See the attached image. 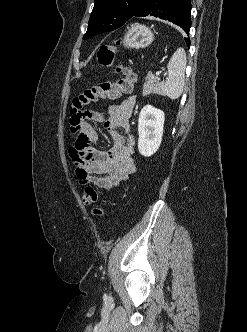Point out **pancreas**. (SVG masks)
<instances>
[{"mask_svg": "<svg viewBox=\"0 0 247 332\" xmlns=\"http://www.w3.org/2000/svg\"><path fill=\"white\" fill-rule=\"evenodd\" d=\"M159 86V81L158 79L151 73L149 72L146 76V81L143 85V95H149L156 93L158 90Z\"/></svg>", "mask_w": 247, "mask_h": 332, "instance_id": "pancreas-1", "label": "pancreas"}]
</instances>
